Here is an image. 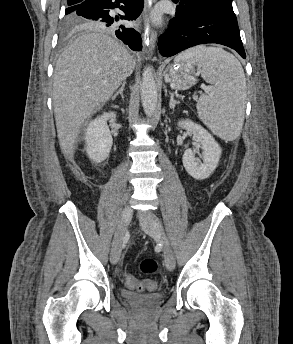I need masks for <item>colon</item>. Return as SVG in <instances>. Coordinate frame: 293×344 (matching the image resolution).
Masks as SVG:
<instances>
[{"label":"colon","instance_id":"5ec220e1","mask_svg":"<svg viewBox=\"0 0 293 344\" xmlns=\"http://www.w3.org/2000/svg\"><path fill=\"white\" fill-rule=\"evenodd\" d=\"M158 268V264L157 262L152 259V258H146L144 260L141 261L140 263V270L145 273V274H152L155 273L157 271ZM126 284L129 287H144L145 289L148 290H152L155 289L157 287V283L152 280H146L143 282V284H139L132 276L128 275L126 277Z\"/></svg>","mask_w":293,"mask_h":344}]
</instances>
